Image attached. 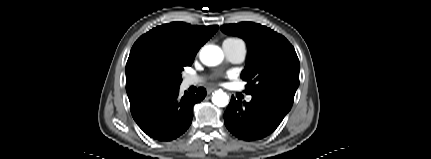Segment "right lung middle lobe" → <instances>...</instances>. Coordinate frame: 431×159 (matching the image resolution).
Wrapping results in <instances>:
<instances>
[{
  "label": "right lung middle lobe",
  "mask_w": 431,
  "mask_h": 159,
  "mask_svg": "<svg viewBox=\"0 0 431 159\" xmlns=\"http://www.w3.org/2000/svg\"><path fill=\"white\" fill-rule=\"evenodd\" d=\"M192 62V60H182L156 53L148 55L145 60L150 74L158 83L167 88L179 87L182 81L181 72L185 66L192 65Z\"/></svg>",
  "instance_id": "right-lung-middle-lobe-1"
}]
</instances>
